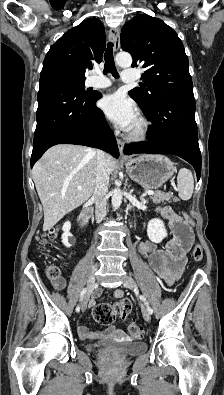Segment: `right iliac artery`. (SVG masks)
<instances>
[{
  "instance_id": "obj_1",
  "label": "right iliac artery",
  "mask_w": 224,
  "mask_h": 395,
  "mask_svg": "<svg viewBox=\"0 0 224 395\" xmlns=\"http://www.w3.org/2000/svg\"><path fill=\"white\" fill-rule=\"evenodd\" d=\"M86 293H87V288H84V289L82 290L81 294H80V302H83ZM79 311H80V306L78 305V306L76 307V312H79Z\"/></svg>"
}]
</instances>
